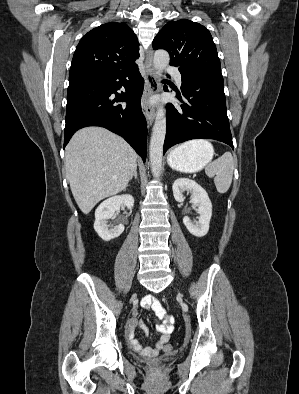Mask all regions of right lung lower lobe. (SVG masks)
<instances>
[{"instance_id": "right-lung-lower-lobe-1", "label": "right lung lower lobe", "mask_w": 299, "mask_h": 394, "mask_svg": "<svg viewBox=\"0 0 299 394\" xmlns=\"http://www.w3.org/2000/svg\"><path fill=\"white\" fill-rule=\"evenodd\" d=\"M143 85L138 67L70 81L64 147L78 129L101 126L122 136L145 161L147 126L140 104ZM121 87L125 93L118 94Z\"/></svg>"}]
</instances>
